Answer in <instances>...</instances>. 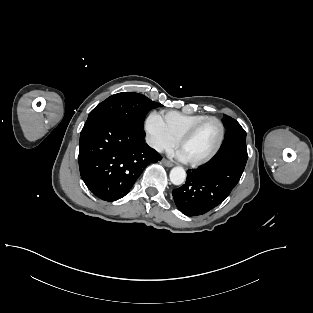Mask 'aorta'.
Segmentation results:
<instances>
[{"label":"aorta","mask_w":313,"mask_h":313,"mask_svg":"<svg viewBox=\"0 0 313 313\" xmlns=\"http://www.w3.org/2000/svg\"><path fill=\"white\" fill-rule=\"evenodd\" d=\"M185 180L186 172L184 168L177 166L170 171V181L172 182V184L181 185L185 182Z\"/></svg>","instance_id":"aorta-1"}]
</instances>
